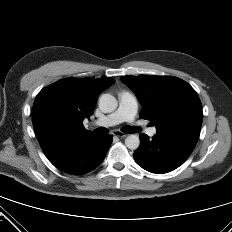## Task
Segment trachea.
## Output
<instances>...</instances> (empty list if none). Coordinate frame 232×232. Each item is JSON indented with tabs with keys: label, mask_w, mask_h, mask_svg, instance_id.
<instances>
[{
	"label": "trachea",
	"mask_w": 232,
	"mask_h": 232,
	"mask_svg": "<svg viewBox=\"0 0 232 232\" xmlns=\"http://www.w3.org/2000/svg\"><path fill=\"white\" fill-rule=\"evenodd\" d=\"M122 132L124 133H136L139 131V128L137 127H133V126H124L122 129ZM95 134H99V135H103V134H107L108 130L104 127H99L96 130H94Z\"/></svg>",
	"instance_id": "3493384b"
}]
</instances>
